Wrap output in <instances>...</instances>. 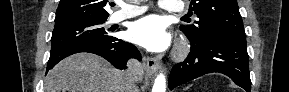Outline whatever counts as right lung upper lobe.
I'll use <instances>...</instances> for the list:
<instances>
[{"label":"right lung upper lobe","instance_id":"1","mask_svg":"<svg viewBox=\"0 0 289 92\" xmlns=\"http://www.w3.org/2000/svg\"><path fill=\"white\" fill-rule=\"evenodd\" d=\"M108 0H60L55 22L79 18L107 19Z\"/></svg>","mask_w":289,"mask_h":92}]
</instances>
